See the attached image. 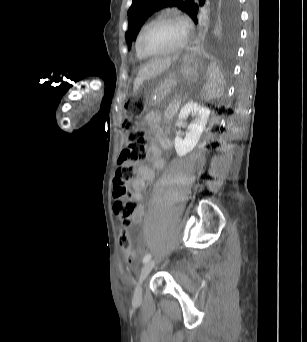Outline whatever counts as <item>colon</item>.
Instances as JSON below:
<instances>
[{
	"label": "colon",
	"instance_id": "1",
	"mask_svg": "<svg viewBox=\"0 0 307 342\" xmlns=\"http://www.w3.org/2000/svg\"><path fill=\"white\" fill-rule=\"evenodd\" d=\"M145 110L144 102L139 98L131 99L124 111V130L128 133L126 147L116 157L117 167L113 177L114 212L119 218V247L126 252L128 266L135 261L129 227L135 213V204L129 200L128 183L135 177V165L146 159V137L139 128V119ZM138 264V261H135Z\"/></svg>",
	"mask_w": 307,
	"mask_h": 342
}]
</instances>
